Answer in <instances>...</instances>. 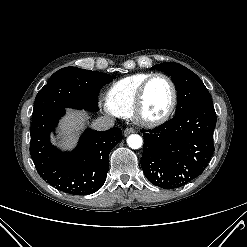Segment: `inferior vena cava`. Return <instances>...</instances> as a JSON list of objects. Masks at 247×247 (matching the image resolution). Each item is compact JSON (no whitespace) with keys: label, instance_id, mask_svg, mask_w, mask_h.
<instances>
[{"label":"inferior vena cava","instance_id":"1","mask_svg":"<svg viewBox=\"0 0 247 247\" xmlns=\"http://www.w3.org/2000/svg\"><path fill=\"white\" fill-rule=\"evenodd\" d=\"M114 126V121L110 117H99L92 122V128L98 131H104L112 128Z\"/></svg>","mask_w":247,"mask_h":247}]
</instances>
